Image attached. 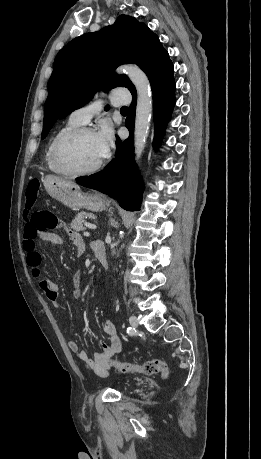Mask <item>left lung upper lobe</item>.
Here are the masks:
<instances>
[{
  "label": "left lung upper lobe",
  "instance_id": "1",
  "mask_svg": "<svg viewBox=\"0 0 261 459\" xmlns=\"http://www.w3.org/2000/svg\"><path fill=\"white\" fill-rule=\"evenodd\" d=\"M130 62L141 67L151 82L171 60L158 36L128 15H120L113 25L99 32L69 42L54 61L41 139L57 119L90 102L101 88L106 92L126 87L131 93L136 92L126 75L114 73L117 66Z\"/></svg>",
  "mask_w": 261,
  "mask_h": 459
}]
</instances>
